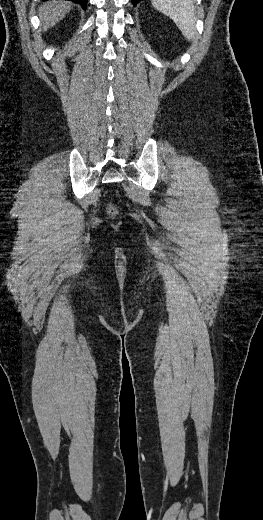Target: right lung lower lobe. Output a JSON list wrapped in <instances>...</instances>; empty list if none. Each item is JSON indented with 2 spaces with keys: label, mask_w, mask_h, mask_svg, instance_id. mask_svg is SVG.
<instances>
[{
  "label": "right lung lower lobe",
  "mask_w": 263,
  "mask_h": 520,
  "mask_svg": "<svg viewBox=\"0 0 263 520\" xmlns=\"http://www.w3.org/2000/svg\"><path fill=\"white\" fill-rule=\"evenodd\" d=\"M70 1L79 3L83 7V9H85L88 0H70Z\"/></svg>",
  "instance_id": "98d812e1"
}]
</instances>
